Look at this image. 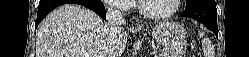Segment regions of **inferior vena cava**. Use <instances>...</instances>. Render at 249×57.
Wrapping results in <instances>:
<instances>
[{
    "mask_svg": "<svg viewBox=\"0 0 249 57\" xmlns=\"http://www.w3.org/2000/svg\"><path fill=\"white\" fill-rule=\"evenodd\" d=\"M106 19L108 29L112 32H116L119 28L126 24L123 13L111 5L108 7Z\"/></svg>",
    "mask_w": 249,
    "mask_h": 57,
    "instance_id": "1",
    "label": "inferior vena cava"
}]
</instances>
